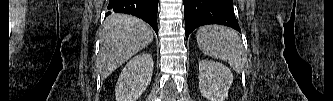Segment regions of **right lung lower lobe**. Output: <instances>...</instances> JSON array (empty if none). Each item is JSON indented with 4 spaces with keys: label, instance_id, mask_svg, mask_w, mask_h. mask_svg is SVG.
I'll use <instances>...</instances> for the list:
<instances>
[{
    "label": "right lung lower lobe",
    "instance_id": "98d812e1",
    "mask_svg": "<svg viewBox=\"0 0 333 101\" xmlns=\"http://www.w3.org/2000/svg\"><path fill=\"white\" fill-rule=\"evenodd\" d=\"M159 0H109L108 12L126 13L143 19L157 33V11Z\"/></svg>",
    "mask_w": 333,
    "mask_h": 101
}]
</instances>
